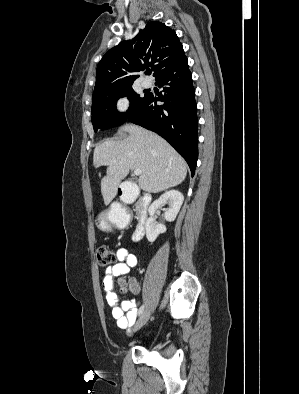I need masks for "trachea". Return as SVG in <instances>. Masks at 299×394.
<instances>
[{
    "label": "trachea",
    "mask_w": 299,
    "mask_h": 394,
    "mask_svg": "<svg viewBox=\"0 0 299 394\" xmlns=\"http://www.w3.org/2000/svg\"><path fill=\"white\" fill-rule=\"evenodd\" d=\"M147 74H148V75H150V74H151V72H147Z\"/></svg>",
    "instance_id": "obj_1"
}]
</instances>
